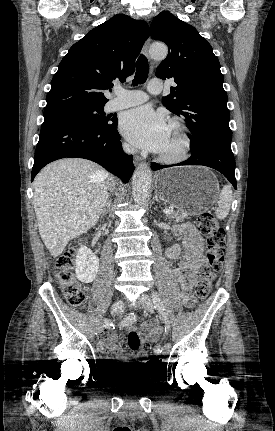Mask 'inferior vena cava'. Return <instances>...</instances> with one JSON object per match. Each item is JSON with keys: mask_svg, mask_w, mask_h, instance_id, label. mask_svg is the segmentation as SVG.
I'll use <instances>...</instances> for the list:
<instances>
[{"mask_svg": "<svg viewBox=\"0 0 275 431\" xmlns=\"http://www.w3.org/2000/svg\"><path fill=\"white\" fill-rule=\"evenodd\" d=\"M123 149H124V151L126 152V153H133L134 152V148H132L131 146H129V145H127V144H125L124 146H123ZM115 186V181H114V178H110L109 179V181H108V189L110 190V191H112V189H113V187Z\"/></svg>", "mask_w": 275, "mask_h": 431, "instance_id": "inferior-vena-cava-1", "label": "inferior vena cava"}]
</instances>
